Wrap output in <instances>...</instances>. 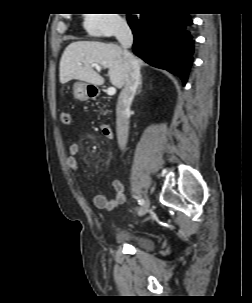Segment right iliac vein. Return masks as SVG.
Masks as SVG:
<instances>
[{
  "label": "right iliac vein",
  "mask_w": 252,
  "mask_h": 303,
  "mask_svg": "<svg viewBox=\"0 0 252 303\" xmlns=\"http://www.w3.org/2000/svg\"><path fill=\"white\" fill-rule=\"evenodd\" d=\"M149 204H150L149 199L147 197H145L143 204L141 205V207L138 210V215L139 216H143L148 212Z\"/></svg>",
  "instance_id": "right-iliac-vein-1"
}]
</instances>
